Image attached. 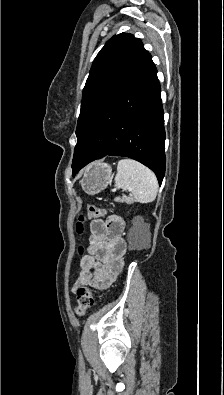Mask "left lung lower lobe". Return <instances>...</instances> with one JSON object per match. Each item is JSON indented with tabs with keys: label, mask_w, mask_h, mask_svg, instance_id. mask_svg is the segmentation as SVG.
Listing matches in <instances>:
<instances>
[{
	"label": "left lung lower lobe",
	"mask_w": 224,
	"mask_h": 395,
	"mask_svg": "<svg viewBox=\"0 0 224 395\" xmlns=\"http://www.w3.org/2000/svg\"><path fill=\"white\" fill-rule=\"evenodd\" d=\"M160 91L157 70L150 58L100 114L73 175L106 155L124 156L149 167L161 184L166 158Z\"/></svg>",
	"instance_id": "left-lung-lower-lobe-1"
}]
</instances>
